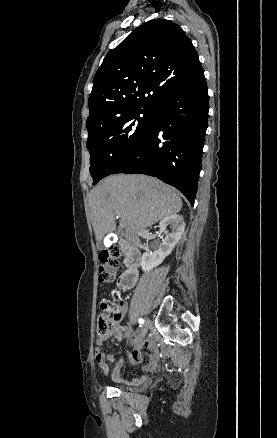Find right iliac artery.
<instances>
[{
	"label": "right iliac artery",
	"instance_id": "right-iliac-artery-1",
	"mask_svg": "<svg viewBox=\"0 0 277 438\" xmlns=\"http://www.w3.org/2000/svg\"><path fill=\"white\" fill-rule=\"evenodd\" d=\"M139 324H140V326H142L143 325V323H144V320L142 319V318H139Z\"/></svg>",
	"mask_w": 277,
	"mask_h": 438
}]
</instances>
